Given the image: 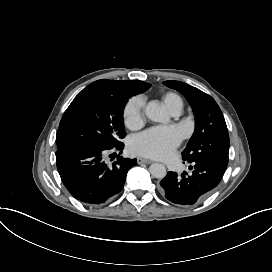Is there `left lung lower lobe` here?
<instances>
[{"instance_id":"left-lung-lower-lobe-1","label":"left lung lower lobe","mask_w":272,"mask_h":272,"mask_svg":"<svg viewBox=\"0 0 272 272\" xmlns=\"http://www.w3.org/2000/svg\"><path fill=\"white\" fill-rule=\"evenodd\" d=\"M193 174L178 178L177 173L168 172L160 182L161 193L174 204L191 206L201 201L219 183L226 170L215 163L195 161ZM190 169L192 167L190 166Z\"/></svg>"}]
</instances>
